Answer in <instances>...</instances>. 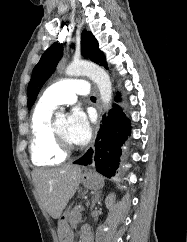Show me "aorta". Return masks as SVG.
Masks as SVG:
<instances>
[{"mask_svg":"<svg viewBox=\"0 0 187 242\" xmlns=\"http://www.w3.org/2000/svg\"><path fill=\"white\" fill-rule=\"evenodd\" d=\"M65 73L67 76H88L97 85L103 104L109 107L112 98V84L109 75L103 68L91 62L77 61L71 63L66 68ZM63 112L64 109L61 108L57 116Z\"/></svg>","mask_w":187,"mask_h":242,"instance_id":"762f6f07","label":"aorta"}]
</instances>
